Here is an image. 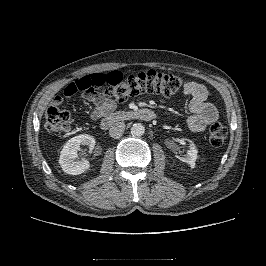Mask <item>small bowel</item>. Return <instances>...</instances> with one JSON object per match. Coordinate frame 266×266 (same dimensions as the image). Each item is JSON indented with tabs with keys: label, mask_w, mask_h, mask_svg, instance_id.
<instances>
[{
	"label": "small bowel",
	"mask_w": 266,
	"mask_h": 266,
	"mask_svg": "<svg viewBox=\"0 0 266 266\" xmlns=\"http://www.w3.org/2000/svg\"><path fill=\"white\" fill-rule=\"evenodd\" d=\"M181 96L190 99L189 110L191 115L187 119V126L191 131H204L207 126L217 121L219 117L218 110L212 103L207 102L208 92L205 86L196 82H186ZM84 99L94 105L93 119L109 115L116 109V103L113 100L95 91L86 93ZM54 101L61 104L63 97L57 96Z\"/></svg>",
	"instance_id": "obj_1"
}]
</instances>
